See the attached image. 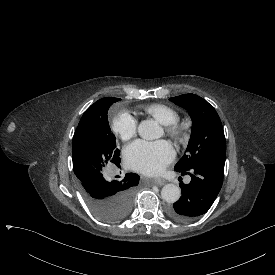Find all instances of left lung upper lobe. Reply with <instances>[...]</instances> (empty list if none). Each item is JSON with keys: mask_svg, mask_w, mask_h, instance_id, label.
Masks as SVG:
<instances>
[{"mask_svg": "<svg viewBox=\"0 0 275 275\" xmlns=\"http://www.w3.org/2000/svg\"><path fill=\"white\" fill-rule=\"evenodd\" d=\"M169 100L185 108L192 119L191 137L186 153L174 169L188 171L205 164L224 167L226 142L222 123L215 109L195 94H184Z\"/></svg>", "mask_w": 275, "mask_h": 275, "instance_id": "1", "label": "left lung upper lobe"}]
</instances>
